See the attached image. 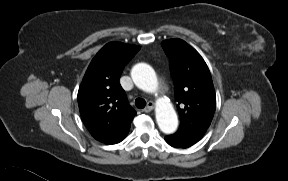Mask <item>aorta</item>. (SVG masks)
I'll use <instances>...</instances> for the list:
<instances>
[{"mask_svg": "<svg viewBox=\"0 0 288 181\" xmlns=\"http://www.w3.org/2000/svg\"><path fill=\"white\" fill-rule=\"evenodd\" d=\"M131 77L134 84L143 91L152 93L157 90L158 81L155 71L148 64H136L131 71ZM156 120L160 130L166 134H171L177 129V114L169 100L157 101Z\"/></svg>", "mask_w": 288, "mask_h": 181, "instance_id": "1", "label": "aorta"}]
</instances>
